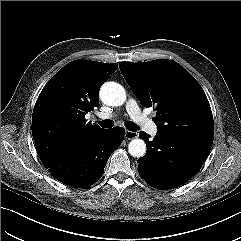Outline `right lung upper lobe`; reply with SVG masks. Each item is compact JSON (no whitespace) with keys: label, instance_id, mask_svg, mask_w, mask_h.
Returning <instances> with one entry per match:
<instances>
[{"label":"right lung upper lobe","instance_id":"1","mask_svg":"<svg viewBox=\"0 0 241 241\" xmlns=\"http://www.w3.org/2000/svg\"><path fill=\"white\" fill-rule=\"evenodd\" d=\"M117 68V64L75 60L47 82L32 118L39 157L87 141L103 130L84 117L99 106V89Z\"/></svg>","mask_w":241,"mask_h":241}]
</instances>
